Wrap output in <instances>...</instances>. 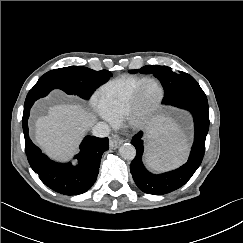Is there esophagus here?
<instances>
[{"label":"esophagus","instance_id":"obj_1","mask_svg":"<svg viewBox=\"0 0 243 243\" xmlns=\"http://www.w3.org/2000/svg\"><path fill=\"white\" fill-rule=\"evenodd\" d=\"M123 143L122 139L119 138H112L109 142V145L112 149L118 148Z\"/></svg>","mask_w":243,"mask_h":243}]
</instances>
